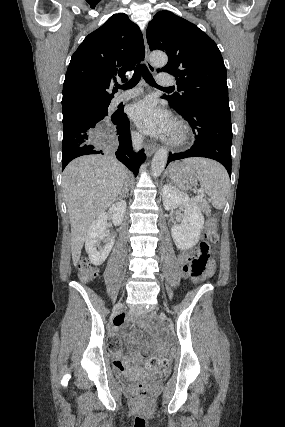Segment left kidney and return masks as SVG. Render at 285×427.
<instances>
[{
  "mask_svg": "<svg viewBox=\"0 0 285 427\" xmlns=\"http://www.w3.org/2000/svg\"><path fill=\"white\" fill-rule=\"evenodd\" d=\"M162 200L166 210L178 207L185 209L182 223L171 228V235L177 248L181 250L193 248L198 243L204 226V216L200 209L187 194L171 185L163 186Z\"/></svg>",
  "mask_w": 285,
  "mask_h": 427,
  "instance_id": "1",
  "label": "left kidney"
}]
</instances>
